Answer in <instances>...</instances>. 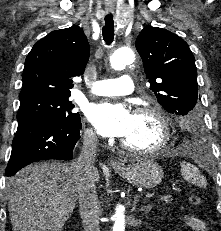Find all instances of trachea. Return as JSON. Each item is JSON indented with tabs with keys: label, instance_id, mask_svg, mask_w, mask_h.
<instances>
[{
	"label": "trachea",
	"instance_id": "obj_1",
	"mask_svg": "<svg viewBox=\"0 0 221 231\" xmlns=\"http://www.w3.org/2000/svg\"><path fill=\"white\" fill-rule=\"evenodd\" d=\"M103 39L106 44H111L114 39V20L112 14L105 16V25L102 29Z\"/></svg>",
	"mask_w": 221,
	"mask_h": 231
}]
</instances>
